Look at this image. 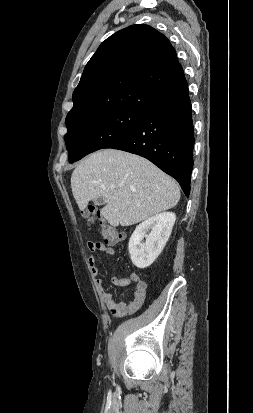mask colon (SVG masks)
<instances>
[{"mask_svg":"<svg viewBox=\"0 0 253 413\" xmlns=\"http://www.w3.org/2000/svg\"><path fill=\"white\" fill-rule=\"evenodd\" d=\"M81 215L88 224L93 223L95 219L99 220L102 236L105 243H107L108 245H116L123 239V235L100 216L99 211L95 206L89 205L88 207L84 208L81 211Z\"/></svg>","mask_w":253,"mask_h":413,"instance_id":"5ec220e1","label":"colon"}]
</instances>
